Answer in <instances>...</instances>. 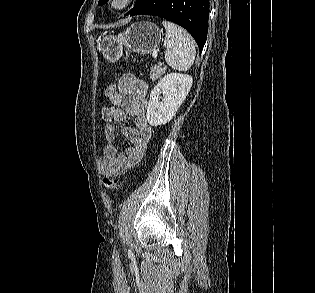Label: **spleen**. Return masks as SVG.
Wrapping results in <instances>:
<instances>
[{"instance_id": "3e777b00", "label": "spleen", "mask_w": 315, "mask_h": 293, "mask_svg": "<svg viewBox=\"0 0 315 293\" xmlns=\"http://www.w3.org/2000/svg\"><path fill=\"white\" fill-rule=\"evenodd\" d=\"M166 29L164 46L166 47L165 61L173 69L187 71L195 60L196 49L192 37L178 25L162 22Z\"/></svg>"}]
</instances>
